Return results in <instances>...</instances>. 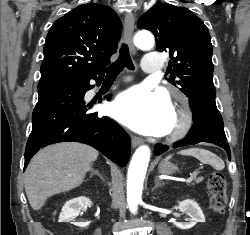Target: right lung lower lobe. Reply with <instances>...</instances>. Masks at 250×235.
I'll list each match as a JSON object with an SVG mask.
<instances>
[{"instance_id":"obj_1","label":"right lung lower lobe","mask_w":250,"mask_h":235,"mask_svg":"<svg viewBox=\"0 0 250 235\" xmlns=\"http://www.w3.org/2000/svg\"><path fill=\"white\" fill-rule=\"evenodd\" d=\"M104 75L77 80L68 84L38 90L32 132L25 149V165L41 148L58 142L74 141L88 144L120 166L130 155V139L115 121L89 112L92 105L84 101L92 89L89 81L101 82ZM110 99V95L106 97Z\"/></svg>"}]
</instances>
